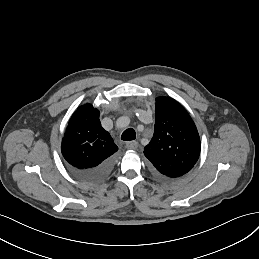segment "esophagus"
<instances>
[{
  "instance_id": "obj_1",
  "label": "esophagus",
  "mask_w": 259,
  "mask_h": 259,
  "mask_svg": "<svg viewBox=\"0 0 259 259\" xmlns=\"http://www.w3.org/2000/svg\"><path fill=\"white\" fill-rule=\"evenodd\" d=\"M126 148L130 150H136L138 148V143L136 141H131L126 144Z\"/></svg>"
}]
</instances>
